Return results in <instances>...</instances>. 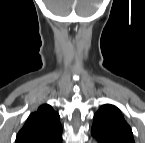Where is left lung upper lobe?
I'll return each instance as SVG.
<instances>
[{
	"label": "left lung upper lobe",
	"mask_w": 145,
	"mask_h": 143,
	"mask_svg": "<svg viewBox=\"0 0 145 143\" xmlns=\"http://www.w3.org/2000/svg\"><path fill=\"white\" fill-rule=\"evenodd\" d=\"M91 134L99 143H135L132 130L121 111L110 104L101 106L94 115Z\"/></svg>",
	"instance_id": "left-lung-upper-lobe-1"
}]
</instances>
